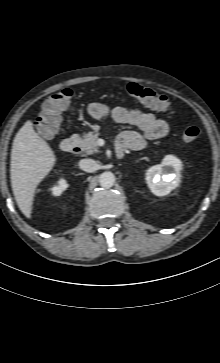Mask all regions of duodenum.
Here are the masks:
<instances>
[{
	"instance_id": "410a0bca",
	"label": "duodenum",
	"mask_w": 220,
	"mask_h": 363,
	"mask_svg": "<svg viewBox=\"0 0 220 363\" xmlns=\"http://www.w3.org/2000/svg\"><path fill=\"white\" fill-rule=\"evenodd\" d=\"M61 150L66 152V153H77L79 152L80 148H79V143L77 141V139L69 137L64 139L61 142ZM124 155V149L121 147H117V156L118 158H122Z\"/></svg>"
}]
</instances>
